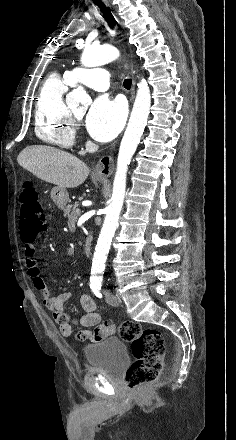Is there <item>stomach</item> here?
<instances>
[{
    "mask_svg": "<svg viewBox=\"0 0 236 440\" xmlns=\"http://www.w3.org/2000/svg\"><path fill=\"white\" fill-rule=\"evenodd\" d=\"M95 178L100 182L105 179L103 176H96ZM51 198L59 209H64L69 200V194L65 188L54 187L51 191Z\"/></svg>",
    "mask_w": 236,
    "mask_h": 440,
    "instance_id": "0dacf381",
    "label": "stomach"
}]
</instances>
